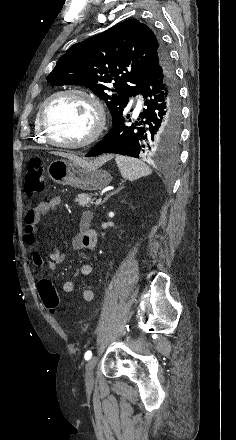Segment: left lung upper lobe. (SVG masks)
I'll return each mask as SVG.
<instances>
[{
  "label": "left lung upper lobe",
  "instance_id": "1",
  "mask_svg": "<svg viewBox=\"0 0 236 440\" xmlns=\"http://www.w3.org/2000/svg\"><path fill=\"white\" fill-rule=\"evenodd\" d=\"M163 52L167 51L162 40L147 25L126 20L72 45L47 81L91 89L106 102L114 119L127 106L151 60Z\"/></svg>",
  "mask_w": 236,
  "mask_h": 440
}]
</instances>
